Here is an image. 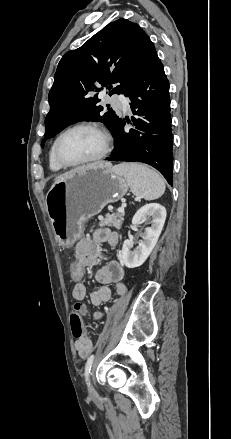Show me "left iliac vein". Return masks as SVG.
I'll return each instance as SVG.
<instances>
[{"label":"left iliac vein","instance_id":"1","mask_svg":"<svg viewBox=\"0 0 231 439\" xmlns=\"http://www.w3.org/2000/svg\"><path fill=\"white\" fill-rule=\"evenodd\" d=\"M88 393L90 398L95 399L97 397V392L95 390V388L93 387V385L91 384L90 379L88 378Z\"/></svg>","mask_w":231,"mask_h":439}]
</instances>
